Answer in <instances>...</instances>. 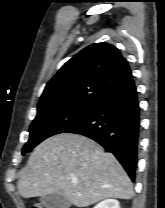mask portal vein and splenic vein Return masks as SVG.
Masks as SVG:
<instances>
[{
  "mask_svg": "<svg viewBox=\"0 0 165 208\" xmlns=\"http://www.w3.org/2000/svg\"><path fill=\"white\" fill-rule=\"evenodd\" d=\"M73 183H74V184H76V183H77V181H73Z\"/></svg>",
  "mask_w": 165,
  "mask_h": 208,
  "instance_id": "portal-vein-and-splenic-vein-1",
  "label": "portal vein and splenic vein"
}]
</instances>
